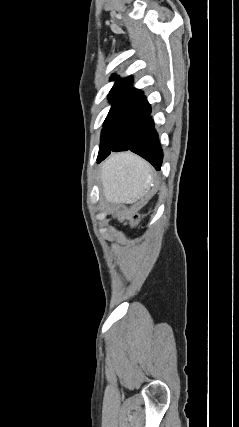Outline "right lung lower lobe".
Listing matches in <instances>:
<instances>
[{
	"mask_svg": "<svg viewBox=\"0 0 239 427\" xmlns=\"http://www.w3.org/2000/svg\"><path fill=\"white\" fill-rule=\"evenodd\" d=\"M150 113L133 134L130 145L118 151L130 150L146 159L157 170H160L163 152L159 145L158 134L154 129V122L150 117ZM102 160H98V163Z\"/></svg>",
	"mask_w": 239,
	"mask_h": 427,
	"instance_id": "1",
	"label": "right lung lower lobe"
}]
</instances>
